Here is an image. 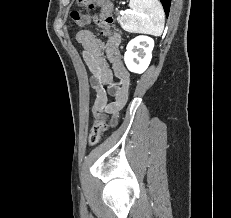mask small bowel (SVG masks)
I'll return each instance as SVG.
<instances>
[{
  "instance_id": "1",
  "label": "small bowel",
  "mask_w": 231,
  "mask_h": 218,
  "mask_svg": "<svg viewBox=\"0 0 231 218\" xmlns=\"http://www.w3.org/2000/svg\"><path fill=\"white\" fill-rule=\"evenodd\" d=\"M76 40L82 45L83 59L91 73L92 111L95 116L101 113L112 115V125H115L117 114L128 100L130 87V77L118 48L120 37L114 35L104 42L92 31L81 30L76 34ZM114 78L118 79L117 83ZM109 96L114 98L113 101L109 102Z\"/></svg>"
}]
</instances>
